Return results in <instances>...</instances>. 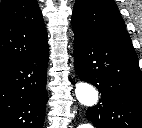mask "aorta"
I'll return each instance as SVG.
<instances>
[{"instance_id":"1","label":"aorta","mask_w":142,"mask_h":128,"mask_svg":"<svg viewBox=\"0 0 142 128\" xmlns=\"http://www.w3.org/2000/svg\"><path fill=\"white\" fill-rule=\"evenodd\" d=\"M75 95L79 103L86 107H93L98 103L97 90L88 83H77L75 88ZM81 128H92L89 124L82 125Z\"/></svg>"}]
</instances>
